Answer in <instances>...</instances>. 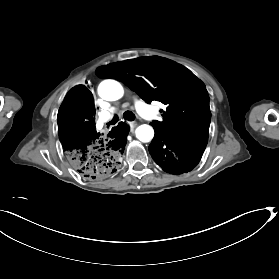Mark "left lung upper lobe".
Masks as SVG:
<instances>
[{"label": "left lung upper lobe", "instance_id": "5c2ea615", "mask_svg": "<svg viewBox=\"0 0 279 279\" xmlns=\"http://www.w3.org/2000/svg\"><path fill=\"white\" fill-rule=\"evenodd\" d=\"M96 75L123 82L147 103L155 100L165 104L162 121L151 123L154 129L177 137L208 139V93L184 66L159 56L139 57L101 66Z\"/></svg>", "mask_w": 279, "mask_h": 279}]
</instances>
